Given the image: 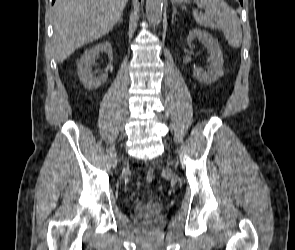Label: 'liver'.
I'll list each match as a JSON object with an SVG mask.
<instances>
[{"label":"liver","mask_w":295,"mask_h":250,"mask_svg":"<svg viewBox=\"0 0 295 250\" xmlns=\"http://www.w3.org/2000/svg\"><path fill=\"white\" fill-rule=\"evenodd\" d=\"M128 0H56L54 45L62 63L75 50L108 34Z\"/></svg>","instance_id":"6515ba94"}]
</instances>
